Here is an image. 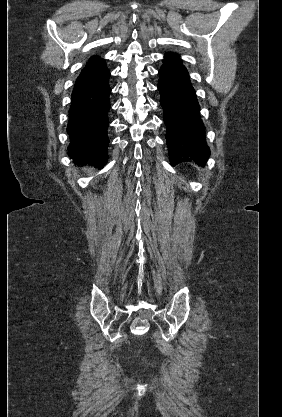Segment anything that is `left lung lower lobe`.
<instances>
[{
  "instance_id": "1",
  "label": "left lung lower lobe",
  "mask_w": 282,
  "mask_h": 417,
  "mask_svg": "<svg viewBox=\"0 0 282 417\" xmlns=\"http://www.w3.org/2000/svg\"><path fill=\"white\" fill-rule=\"evenodd\" d=\"M159 75L158 89L167 128L170 164L193 161L204 166L210 150L188 71L177 54L168 53Z\"/></svg>"
}]
</instances>
